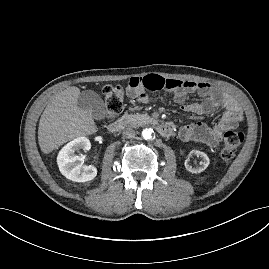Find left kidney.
<instances>
[{
	"instance_id": "obj_1",
	"label": "left kidney",
	"mask_w": 269,
	"mask_h": 269,
	"mask_svg": "<svg viewBox=\"0 0 269 269\" xmlns=\"http://www.w3.org/2000/svg\"><path fill=\"white\" fill-rule=\"evenodd\" d=\"M196 155L198 157L202 158V161L200 162V166L198 167H192L189 163V158L185 160V168L191 172V173H201L203 172L208 165L210 164L209 157L206 153L199 151V150H192L189 154V156Z\"/></svg>"
}]
</instances>
